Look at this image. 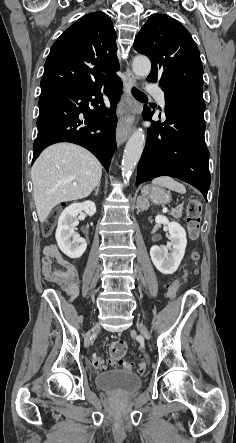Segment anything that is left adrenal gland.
I'll use <instances>...</instances> for the list:
<instances>
[{
	"mask_svg": "<svg viewBox=\"0 0 236 443\" xmlns=\"http://www.w3.org/2000/svg\"><path fill=\"white\" fill-rule=\"evenodd\" d=\"M137 207H138L141 211L146 210V207H145L143 204H141L139 201L137 202Z\"/></svg>",
	"mask_w": 236,
	"mask_h": 443,
	"instance_id": "1",
	"label": "left adrenal gland"
}]
</instances>
